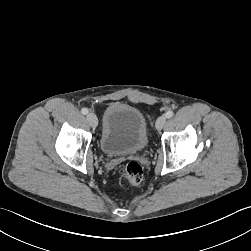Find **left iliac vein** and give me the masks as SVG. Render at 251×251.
I'll return each mask as SVG.
<instances>
[{
    "instance_id": "4c4485c4",
    "label": "left iliac vein",
    "mask_w": 251,
    "mask_h": 251,
    "mask_svg": "<svg viewBox=\"0 0 251 251\" xmlns=\"http://www.w3.org/2000/svg\"><path fill=\"white\" fill-rule=\"evenodd\" d=\"M166 123V117L165 116H160L155 123V127L157 130H161L163 128V126Z\"/></svg>"
}]
</instances>
